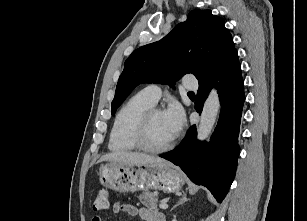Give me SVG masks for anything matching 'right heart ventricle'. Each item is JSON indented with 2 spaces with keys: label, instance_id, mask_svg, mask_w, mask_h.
I'll return each instance as SVG.
<instances>
[{
  "label": "right heart ventricle",
  "instance_id": "right-heart-ventricle-1",
  "mask_svg": "<svg viewBox=\"0 0 307 221\" xmlns=\"http://www.w3.org/2000/svg\"><path fill=\"white\" fill-rule=\"evenodd\" d=\"M154 106L142 92L131 97L117 112L110 132L108 147L112 152H128L137 147L133 131L141 114Z\"/></svg>",
  "mask_w": 307,
  "mask_h": 221
}]
</instances>
